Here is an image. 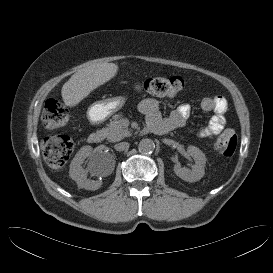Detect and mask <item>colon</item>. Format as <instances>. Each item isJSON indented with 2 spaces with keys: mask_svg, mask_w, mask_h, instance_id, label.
<instances>
[{
  "mask_svg": "<svg viewBox=\"0 0 273 273\" xmlns=\"http://www.w3.org/2000/svg\"><path fill=\"white\" fill-rule=\"evenodd\" d=\"M184 82L179 76L153 77L133 85V90L152 97H171L179 93ZM45 127L54 129L65 125L70 118L69 109L60 101L49 99L43 110ZM42 152L50 168L59 170L70 158L74 141L68 136H49L41 142ZM237 148V136L232 130L224 131L215 141L214 149L223 158L233 156Z\"/></svg>",
  "mask_w": 273,
  "mask_h": 273,
  "instance_id": "1",
  "label": "colon"
}]
</instances>
